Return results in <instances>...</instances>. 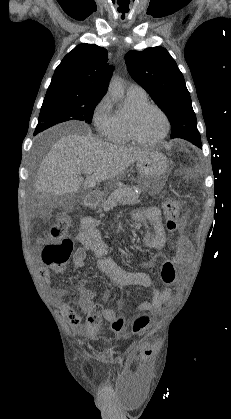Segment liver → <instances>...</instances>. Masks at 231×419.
<instances>
[{
  "mask_svg": "<svg viewBox=\"0 0 231 419\" xmlns=\"http://www.w3.org/2000/svg\"><path fill=\"white\" fill-rule=\"evenodd\" d=\"M149 152V149L110 144L90 134H68L56 141L42 161L36 191L47 197L93 188L121 175ZM87 169L92 173L84 180L81 174Z\"/></svg>",
  "mask_w": 231,
  "mask_h": 419,
  "instance_id": "6515ba94",
  "label": "liver"
}]
</instances>
